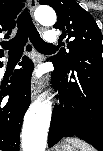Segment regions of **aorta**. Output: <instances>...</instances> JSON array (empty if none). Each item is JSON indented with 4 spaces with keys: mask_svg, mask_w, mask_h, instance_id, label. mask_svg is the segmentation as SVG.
Returning a JSON list of instances; mask_svg holds the SVG:
<instances>
[{
    "mask_svg": "<svg viewBox=\"0 0 103 151\" xmlns=\"http://www.w3.org/2000/svg\"><path fill=\"white\" fill-rule=\"evenodd\" d=\"M34 15L37 22L42 25H53L57 19L55 11L46 6L38 7ZM51 115L49 99H38L31 104L25 114L22 128L23 151H45Z\"/></svg>",
    "mask_w": 103,
    "mask_h": 151,
    "instance_id": "762f6f07",
    "label": "aorta"
}]
</instances>
